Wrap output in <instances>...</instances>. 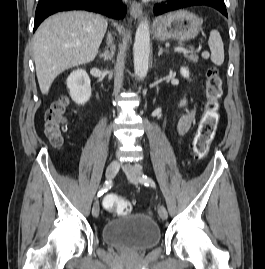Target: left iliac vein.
Masks as SVG:
<instances>
[{"label": "left iliac vein", "mask_w": 265, "mask_h": 269, "mask_svg": "<svg viewBox=\"0 0 265 269\" xmlns=\"http://www.w3.org/2000/svg\"><path fill=\"white\" fill-rule=\"evenodd\" d=\"M123 170L131 183L137 184L139 182L138 177L142 174L139 167L132 164H126L124 165ZM158 214L162 220H166L168 218L167 209L164 205H160L158 207Z\"/></svg>", "instance_id": "4c4485c4"}]
</instances>
